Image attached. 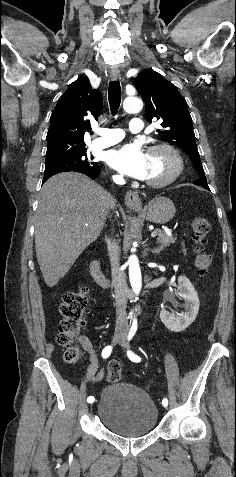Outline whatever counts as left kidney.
Masks as SVG:
<instances>
[{"mask_svg":"<svg viewBox=\"0 0 236 477\" xmlns=\"http://www.w3.org/2000/svg\"><path fill=\"white\" fill-rule=\"evenodd\" d=\"M178 289L180 296L185 300V312L174 315L162 309L160 319L162 323L173 332L184 331L195 320L199 311L198 294L188 278L180 276L178 278Z\"/></svg>","mask_w":236,"mask_h":477,"instance_id":"5707ae66","label":"left kidney"}]
</instances>
